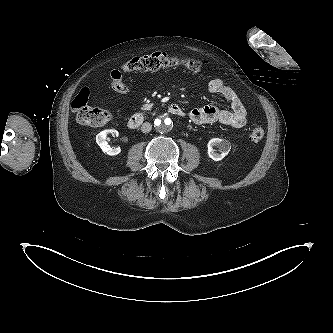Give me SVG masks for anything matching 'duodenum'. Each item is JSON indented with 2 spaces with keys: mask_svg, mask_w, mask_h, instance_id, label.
I'll list each match as a JSON object with an SVG mask.
<instances>
[{
  "mask_svg": "<svg viewBox=\"0 0 333 333\" xmlns=\"http://www.w3.org/2000/svg\"><path fill=\"white\" fill-rule=\"evenodd\" d=\"M167 111L176 116H184L185 112L182 107L176 103H172L168 106ZM145 120V116L142 113L133 114L128 120V127L130 129L138 128Z\"/></svg>",
  "mask_w": 333,
  "mask_h": 333,
  "instance_id": "1",
  "label": "duodenum"
}]
</instances>
